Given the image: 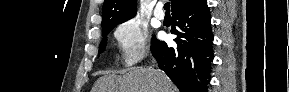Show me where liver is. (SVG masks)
Listing matches in <instances>:
<instances>
[{"mask_svg":"<svg viewBox=\"0 0 289 92\" xmlns=\"http://www.w3.org/2000/svg\"><path fill=\"white\" fill-rule=\"evenodd\" d=\"M92 92H177L167 75L152 68H134L124 75L99 78Z\"/></svg>","mask_w":289,"mask_h":92,"instance_id":"6515ba94","label":"liver"}]
</instances>
